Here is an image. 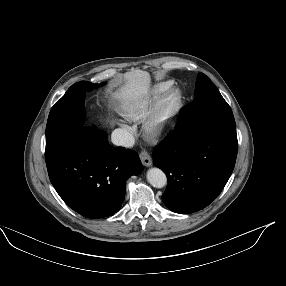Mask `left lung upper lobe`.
Segmentation results:
<instances>
[{
    "label": "left lung upper lobe",
    "mask_w": 286,
    "mask_h": 286,
    "mask_svg": "<svg viewBox=\"0 0 286 286\" xmlns=\"http://www.w3.org/2000/svg\"><path fill=\"white\" fill-rule=\"evenodd\" d=\"M182 130L203 125L235 126L232 110L213 82L203 73L196 81L195 99L179 123Z\"/></svg>",
    "instance_id": "1"
}]
</instances>
